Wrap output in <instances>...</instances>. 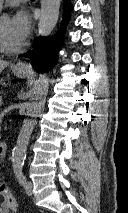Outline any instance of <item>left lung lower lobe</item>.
I'll list each match as a JSON object with an SVG mask.
<instances>
[{
    "label": "left lung lower lobe",
    "instance_id": "1",
    "mask_svg": "<svg viewBox=\"0 0 128 213\" xmlns=\"http://www.w3.org/2000/svg\"><path fill=\"white\" fill-rule=\"evenodd\" d=\"M63 4L64 14L61 28L59 30V36L57 38L39 37L35 42L33 50L21 55L22 57L31 58L34 68L38 72H44L56 63L57 53L61 46V38H63L65 25L68 23L70 12L73 9L70 0H63Z\"/></svg>",
    "mask_w": 128,
    "mask_h": 213
}]
</instances>
